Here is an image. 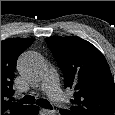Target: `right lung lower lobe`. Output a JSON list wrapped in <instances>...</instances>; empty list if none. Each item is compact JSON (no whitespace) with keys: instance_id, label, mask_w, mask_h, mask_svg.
<instances>
[{"instance_id":"98d812e1","label":"right lung lower lobe","mask_w":115,"mask_h":115,"mask_svg":"<svg viewBox=\"0 0 115 115\" xmlns=\"http://www.w3.org/2000/svg\"><path fill=\"white\" fill-rule=\"evenodd\" d=\"M39 112V108L35 105H29V109L27 110L26 115H37Z\"/></svg>"}]
</instances>
